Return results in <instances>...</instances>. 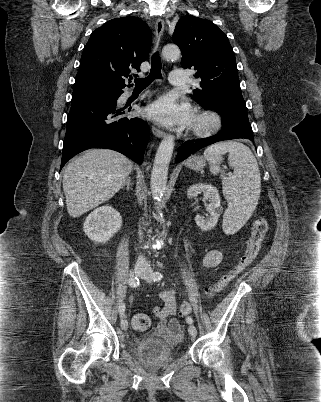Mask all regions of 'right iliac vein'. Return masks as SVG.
Returning a JSON list of instances; mask_svg holds the SVG:
<instances>
[{"label": "right iliac vein", "mask_w": 321, "mask_h": 402, "mask_svg": "<svg viewBox=\"0 0 321 402\" xmlns=\"http://www.w3.org/2000/svg\"><path fill=\"white\" fill-rule=\"evenodd\" d=\"M145 272V268L142 266H135L133 271L131 272V275L135 274L136 276H142ZM121 328L122 330H127L128 329V321L126 319L121 320Z\"/></svg>", "instance_id": "obj_1"}]
</instances>
